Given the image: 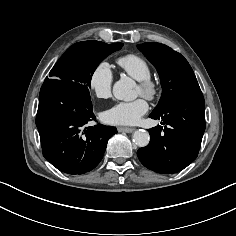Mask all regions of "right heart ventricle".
<instances>
[{"label": "right heart ventricle", "mask_w": 236, "mask_h": 236, "mask_svg": "<svg viewBox=\"0 0 236 236\" xmlns=\"http://www.w3.org/2000/svg\"><path fill=\"white\" fill-rule=\"evenodd\" d=\"M117 64L136 80H142L151 76L149 64L137 54L123 55L117 59Z\"/></svg>", "instance_id": "obj_1"}]
</instances>
